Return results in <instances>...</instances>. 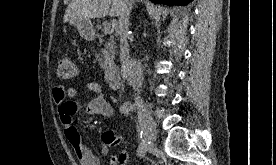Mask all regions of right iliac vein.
<instances>
[{"instance_id":"63e3f726","label":"right iliac vein","mask_w":276,"mask_h":165,"mask_svg":"<svg viewBox=\"0 0 276 165\" xmlns=\"http://www.w3.org/2000/svg\"><path fill=\"white\" fill-rule=\"evenodd\" d=\"M135 106L139 110V114L145 121L147 131L146 151H152L154 149V129L155 124L144 102L138 101Z\"/></svg>"}]
</instances>
